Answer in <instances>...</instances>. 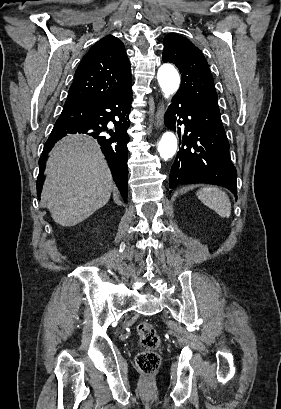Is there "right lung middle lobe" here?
I'll list each match as a JSON object with an SVG mask.
<instances>
[{"mask_svg": "<svg viewBox=\"0 0 281 409\" xmlns=\"http://www.w3.org/2000/svg\"><path fill=\"white\" fill-rule=\"evenodd\" d=\"M75 121H76V118H72V117H67V118H65V117H60V118L57 120L56 123H59V122H75Z\"/></svg>", "mask_w": 281, "mask_h": 409, "instance_id": "dd1d6c3e", "label": "right lung middle lobe"}]
</instances>
